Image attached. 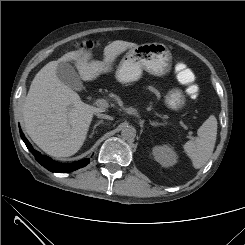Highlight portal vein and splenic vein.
<instances>
[{
    "instance_id": "obj_1",
    "label": "portal vein and splenic vein",
    "mask_w": 245,
    "mask_h": 245,
    "mask_svg": "<svg viewBox=\"0 0 245 245\" xmlns=\"http://www.w3.org/2000/svg\"><path fill=\"white\" fill-rule=\"evenodd\" d=\"M96 105L102 109L109 107V104L106 100L104 99H97L96 100Z\"/></svg>"
}]
</instances>
